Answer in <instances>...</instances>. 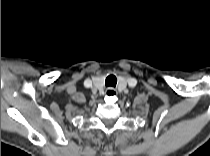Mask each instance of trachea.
<instances>
[{"instance_id": "1", "label": "trachea", "mask_w": 210, "mask_h": 156, "mask_svg": "<svg viewBox=\"0 0 210 156\" xmlns=\"http://www.w3.org/2000/svg\"><path fill=\"white\" fill-rule=\"evenodd\" d=\"M117 84V78L114 75L107 76L105 80L106 87H116Z\"/></svg>"}]
</instances>
